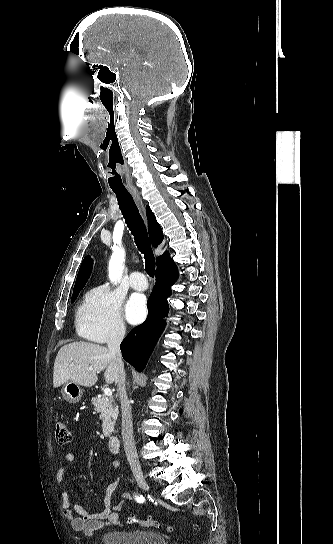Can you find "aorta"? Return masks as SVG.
Wrapping results in <instances>:
<instances>
[{
    "mask_svg": "<svg viewBox=\"0 0 333 544\" xmlns=\"http://www.w3.org/2000/svg\"><path fill=\"white\" fill-rule=\"evenodd\" d=\"M124 260L125 251L122 248L114 249L109 262V279L111 282H116L119 278Z\"/></svg>",
    "mask_w": 333,
    "mask_h": 544,
    "instance_id": "obj_1",
    "label": "aorta"
}]
</instances>
